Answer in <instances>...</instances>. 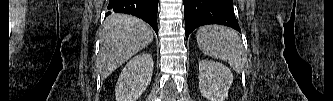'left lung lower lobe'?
<instances>
[{"label":"left lung lower lobe","instance_id":"0a47b994","mask_svg":"<svg viewBox=\"0 0 333 101\" xmlns=\"http://www.w3.org/2000/svg\"><path fill=\"white\" fill-rule=\"evenodd\" d=\"M183 3L186 38L195 28L206 24L225 25L241 32L233 0H183Z\"/></svg>","mask_w":333,"mask_h":101}]
</instances>
